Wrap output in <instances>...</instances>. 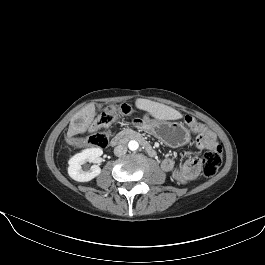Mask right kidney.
<instances>
[{"label":"right kidney","mask_w":265,"mask_h":265,"mask_svg":"<svg viewBox=\"0 0 265 265\" xmlns=\"http://www.w3.org/2000/svg\"><path fill=\"white\" fill-rule=\"evenodd\" d=\"M103 154L101 148H90L83 150L81 153L74 155L69 160L68 174L78 182H89L101 173L98 165L91 166L89 171H83L82 165L86 162H95Z\"/></svg>","instance_id":"obj_1"}]
</instances>
